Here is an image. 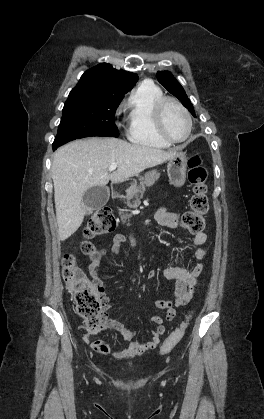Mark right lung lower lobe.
<instances>
[{
	"mask_svg": "<svg viewBox=\"0 0 264 419\" xmlns=\"http://www.w3.org/2000/svg\"><path fill=\"white\" fill-rule=\"evenodd\" d=\"M58 147H59V146H54V147H53V150H56Z\"/></svg>",
	"mask_w": 264,
	"mask_h": 419,
	"instance_id": "obj_1",
	"label": "right lung lower lobe"
}]
</instances>
